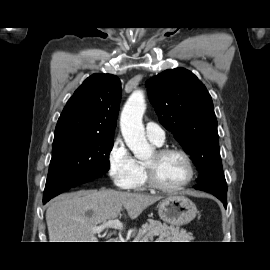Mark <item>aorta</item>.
Instances as JSON below:
<instances>
[{"mask_svg": "<svg viewBox=\"0 0 270 270\" xmlns=\"http://www.w3.org/2000/svg\"><path fill=\"white\" fill-rule=\"evenodd\" d=\"M146 109L143 91L137 90L131 94L121 113L120 127L126 145L138 159H146L153 152L152 146L145 137L142 123Z\"/></svg>", "mask_w": 270, "mask_h": 270, "instance_id": "aorta-1", "label": "aorta"}]
</instances>
